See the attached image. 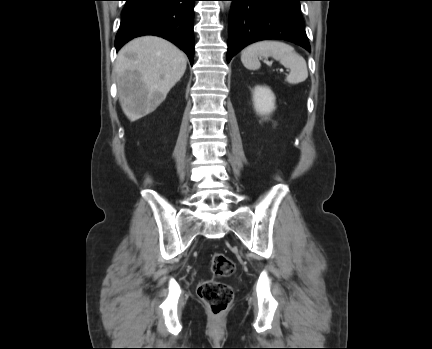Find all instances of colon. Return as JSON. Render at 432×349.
I'll list each match as a JSON object with an SVG mask.
<instances>
[{
	"label": "colon",
	"mask_w": 432,
	"mask_h": 349,
	"mask_svg": "<svg viewBox=\"0 0 432 349\" xmlns=\"http://www.w3.org/2000/svg\"><path fill=\"white\" fill-rule=\"evenodd\" d=\"M235 271L234 261L224 253H214L211 260L213 278L198 287V295L214 315H221L233 300V289L219 279L231 276Z\"/></svg>",
	"instance_id": "5ec220e1"
}]
</instances>
